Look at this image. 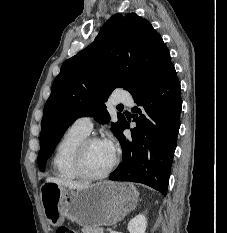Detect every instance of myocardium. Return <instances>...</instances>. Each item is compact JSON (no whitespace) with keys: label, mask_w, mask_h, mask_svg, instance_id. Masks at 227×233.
<instances>
[{"label":"myocardium","mask_w":227,"mask_h":233,"mask_svg":"<svg viewBox=\"0 0 227 233\" xmlns=\"http://www.w3.org/2000/svg\"><path fill=\"white\" fill-rule=\"evenodd\" d=\"M101 141L102 140L98 137H94V136L86 137L77 146L75 153H74V157H73V167L76 173L79 175V177L88 179V180L104 179L107 176H109L112 173V171L115 169V167L117 166L119 158H118V155L114 152L113 160L105 171L101 173H92L87 170L86 165H85V156H86L87 149L92 143L101 142Z\"/></svg>","instance_id":"myocardium-1"}]
</instances>
